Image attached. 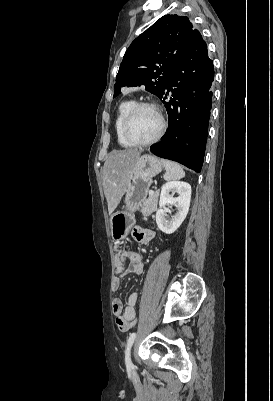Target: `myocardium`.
Returning <instances> with one entry per match:
<instances>
[{
  "mask_svg": "<svg viewBox=\"0 0 273 401\" xmlns=\"http://www.w3.org/2000/svg\"><path fill=\"white\" fill-rule=\"evenodd\" d=\"M143 108L154 111L160 117L161 128H160L159 132L157 133V135L154 136L153 138L146 140V141H138V140H135L130 137V135L128 133V127H129L130 122L133 119L134 115L140 109H143ZM167 127H168L167 120L164 117L162 111L160 110V108L158 106H156L153 103L139 102V103H136L132 107V109L129 111L126 118L124 119L122 126H121V134H122V137L124 138V140L126 142H128L129 144H131L135 147H144V146L152 145V144L158 142L159 140H161L167 131Z\"/></svg>",
  "mask_w": 273,
  "mask_h": 401,
  "instance_id": "1",
  "label": "myocardium"
}]
</instances>
